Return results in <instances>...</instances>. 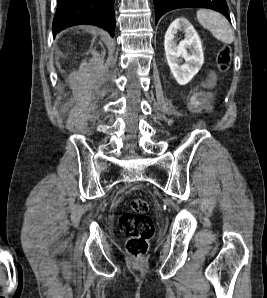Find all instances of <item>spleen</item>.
I'll use <instances>...</instances> for the list:
<instances>
[{
	"label": "spleen",
	"instance_id": "1",
	"mask_svg": "<svg viewBox=\"0 0 267 298\" xmlns=\"http://www.w3.org/2000/svg\"><path fill=\"white\" fill-rule=\"evenodd\" d=\"M198 22L214 37L225 44H231L234 41V32L229 21L220 13L207 9L197 11Z\"/></svg>",
	"mask_w": 267,
	"mask_h": 298
}]
</instances>
